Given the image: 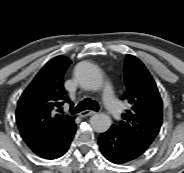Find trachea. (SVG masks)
Listing matches in <instances>:
<instances>
[{
  "mask_svg": "<svg viewBox=\"0 0 184 173\" xmlns=\"http://www.w3.org/2000/svg\"><path fill=\"white\" fill-rule=\"evenodd\" d=\"M94 110L98 111L99 110V104L90 98H86L82 100L74 109L73 114H77L79 112H82L84 110Z\"/></svg>",
  "mask_w": 184,
  "mask_h": 173,
  "instance_id": "trachea-1",
  "label": "trachea"
}]
</instances>
